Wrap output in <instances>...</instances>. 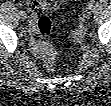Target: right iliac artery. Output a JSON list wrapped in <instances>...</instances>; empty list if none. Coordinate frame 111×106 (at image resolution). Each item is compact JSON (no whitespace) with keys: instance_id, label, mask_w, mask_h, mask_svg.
Listing matches in <instances>:
<instances>
[{"instance_id":"82829eb1","label":"right iliac artery","mask_w":111,"mask_h":106,"mask_svg":"<svg viewBox=\"0 0 111 106\" xmlns=\"http://www.w3.org/2000/svg\"><path fill=\"white\" fill-rule=\"evenodd\" d=\"M18 9L20 14H26L24 9L21 6H18Z\"/></svg>"}]
</instances>
